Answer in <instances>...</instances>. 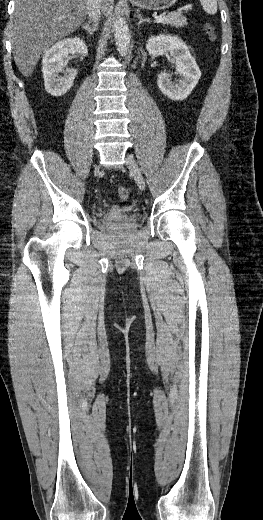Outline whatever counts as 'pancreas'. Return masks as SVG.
Wrapping results in <instances>:
<instances>
[{"mask_svg":"<svg viewBox=\"0 0 263 520\" xmlns=\"http://www.w3.org/2000/svg\"><path fill=\"white\" fill-rule=\"evenodd\" d=\"M165 25H171L176 28H181L187 25V19L182 15L181 11L169 13L161 22Z\"/></svg>","mask_w":263,"mask_h":520,"instance_id":"obj_1","label":"pancreas"}]
</instances>
